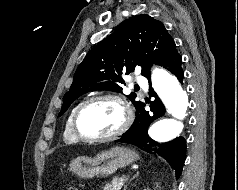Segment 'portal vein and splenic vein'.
I'll list each match as a JSON object with an SVG mask.
<instances>
[{
    "mask_svg": "<svg viewBox=\"0 0 238 190\" xmlns=\"http://www.w3.org/2000/svg\"><path fill=\"white\" fill-rule=\"evenodd\" d=\"M125 178H126V177H125V176H123V177H121V178H120V180H121V181H123V180H125Z\"/></svg>",
    "mask_w": 238,
    "mask_h": 190,
    "instance_id": "obj_1",
    "label": "portal vein and splenic vein"
}]
</instances>
